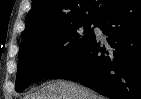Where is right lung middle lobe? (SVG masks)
Wrapping results in <instances>:
<instances>
[{
    "mask_svg": "<svg viewBox=\"0 0 141 99\" xmlns=\"http://www.w3.org/2000/svg\"><path fill=\"white\" fill-rule=\"evenodd\" d=\"M95 21L80 22L42 35L20 45L16 91L46 76H52L76 57L94 37L90 26Z\"/></svg>",
    "mask_w": 141,
    "mask_h": 99,
    "instance_id": "obj_1",
    "label": "right lung middle lobe"
}]
</instances>
